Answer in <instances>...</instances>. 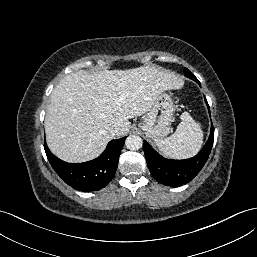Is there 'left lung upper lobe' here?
Wrapping results in <instances>:
<instances>
[{
    "mask_svg": "<svg viewBox=\"0 0 257 257\" xmlns=\"http://www.w3.org/2000/svg\"><path fill=\"white\" fill-rule=\"evenodd\" d=\"M184 75L193 80L197 79L187 68L184 69Z\"/></svg>",
    "mask_w": 257,
    "mask_h": 257,
    "instance_id": "left-lung-upper-lobe-1",
    "label": "left lung upper lobe"
}]
</instances>
